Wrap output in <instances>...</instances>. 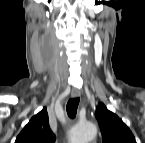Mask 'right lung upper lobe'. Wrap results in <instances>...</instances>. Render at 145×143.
I'll return each mask as SVG.
<instances>
[{"label": "right lung upper lobe", "instance_id": "right-lung-upper-lobe-1", "mask_svg": "<svg viewBox=\"0 0 145 143\" xmlns=\"http://www.w3.org/2000/svg\"><path fill=\"white\" fill-rule=\"evenodd\" d=\"M54 134L50 129L46 107L33 116L17 136L15 143H53Z\"/></svg>", "mask_w": 145, "mask_h": 143}]
</instances>
